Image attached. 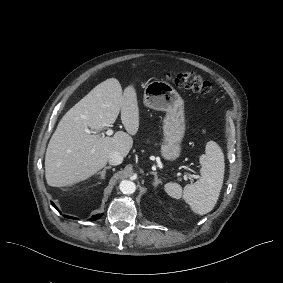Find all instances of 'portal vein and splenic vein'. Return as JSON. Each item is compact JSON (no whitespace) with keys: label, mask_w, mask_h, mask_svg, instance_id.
Instances as JSON below:
<instances>
[{"label":"portal vein and splenic vein","mask_w":283,"mask_h":283,"mask_svg":"<svg viewBox=\"0 0 283 283\" xmlns=\"http://www.w3.org/2000/svg\"><path fill=\"white\" fill-rule=\"evenodd\" d=\"M85 132L88 134H93L92 130L87 129V128L85 129ZM112 134H113V131L111 129H107L106 135L111 136Z\"/></svg>","instance_id":"obj_1"}]
</instances>
